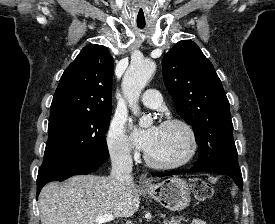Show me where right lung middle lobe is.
<instances>
[{"instance_id": "1", "label": "right lung middle lobe", "mask_w": 275, "mask_h": 224, "mask_svg": "<svg viewBox=\"0 0 275 224\" xmlns=\"http://www.w3.org/2000/svg\"><path fill=\"white\" fill-rule=\"evenodd\" d=\"M110 116L111 112L51 115L44 161L107 150Z\"/></svg>"}]
</instances>
